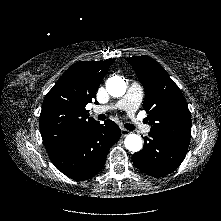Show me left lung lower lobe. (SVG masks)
Instances as JSON below:
<instances>
[{"label": "left lung lower lobe", "instance_id": "obj_1", "mask_svg": "<svg viewBox=\"0 0 221 221\" xmlns=\"http://www.w3.org/2000/svg\"><path fill=\"white\" fill-rule=\"evenodd\" d=\"M189 141L154 132L144 137V147L132 156L133 163L142 172L162 177L177 169L184 160Z\"/></svg>", "mask_w": 221, "mask_h": 221}]
</instances>
